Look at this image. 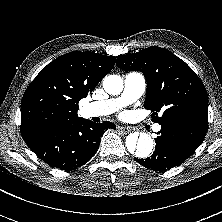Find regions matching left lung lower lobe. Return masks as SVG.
<instances>
[{"label":"left lung lower lobe","mask_w":222,"mask_h":222,"mask_svg":"<svg viewBox=\"0 0 222 222\" xmlns=\"http://www.w3.org/2000/svg\"><path fill=\"white\" fill-rule=\"evenodd\" d=\"M160 125L153 155L146 159L134 158L142 166L160 172L179 166L188 159L208 130V123L189 119L168 120Z\"/></svg>","instance_id":"obj_1"}]
</instances>
